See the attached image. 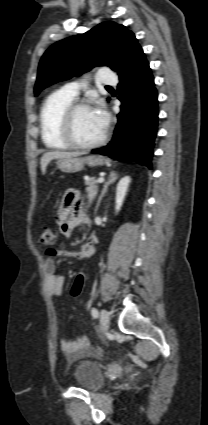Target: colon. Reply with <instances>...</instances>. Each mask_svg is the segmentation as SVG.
<instances>
[{"label": "colon", "mask_w": 208, "mask_h": 425, "mask_svg": "<svg viewBox=\"0 0 208 425\" xmlns=\"http://www.w3.org/2000/svg\"><path fill=\"white\" fill-rule=\"evenodd\" d=\"M39 241L41 244L46 246L54 245L56 242L55 229L50 225H45L41 229V232L39 235ZM87 279L88 277L86 274L81 273L77 275L70 291L73 297H79L83 293L87 284Z\"/></svg>", "instance_id": "colon-1"}]
</instances>
